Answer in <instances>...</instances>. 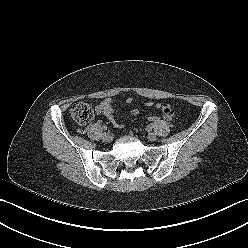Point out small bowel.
<instances>
[{"instance_id":"c3829d8e","label":"small bowel","mask_w":248,"mask_h":248,"mask_svg":"<svg viewBox=\"0 0 248 248\" xmlns=\"http://www.w3.org/2000/svg\"><path fill=\"white\" fill-rule=\"evenodd\" d=\"M132 99L128 98L127 103H131ZM147 106L155 107L156 109H161L163 113V117L166 120H172L174 117V111L172 107L169 104H160V103H153V102H148L146 104ZM96 113L99 115H104L107 117V119L113 124L114 127L116 128H122L123 123L118 119V117L115 114V109L113 106V101L111 98H106L104 99L99 105L95 107ZM132 116H135L138 114L137 110H133L130 113Z\"/></svg>"}]
</instances>
